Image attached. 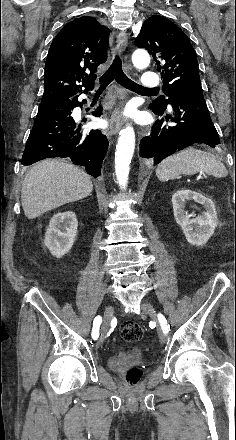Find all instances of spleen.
<instances>
[{"mask_svg": "<svg viewBox=\"0 0 236 440\" xmlns=\"http://www.w3.org/2000/svg\"><path fill=\"white\" fill-rule=\"evenodd\" d=\"M197 172H206L218 178L228 174L226 167L215 155L190 147L164 159L156 169V176L160 181H168Z\"/></svg>", "mask_w": 236, "mask_h": 440, "instance_id": "1", "label": "spleen"}]
</instances>
